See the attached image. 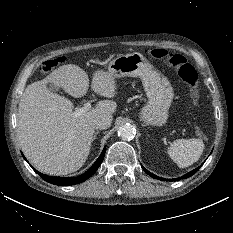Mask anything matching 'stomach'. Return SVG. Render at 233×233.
Listing matches in <instances>:
<instances>
[{"mask_svg": "<svg viewBox=\"0 0 233 233\" xmlns=\"http://www.w3.org/2000/svg\"><path fill=\"white\" fill-rule=\"evenodd\" d=\"M108 72L117 79L121 77H140L148 102L140 112V118L146 125L162 126L168 119V111L174 98L169 80L156 70L151 63L138 52L121 54L108 66Z\"/></svg>", "mask_w": 233, "mask_h": 233, "instance_id": "obj_1", "label": "stomach"}]
</instances>
